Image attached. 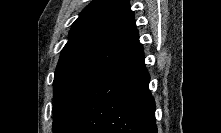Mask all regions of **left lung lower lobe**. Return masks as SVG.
<instances>
[{"instance_id":"obj_1","label":"left lung lower lobe","mask_w":221,"mask_h":133,"mask_svg":"<svg viewBox=\"0 0 221 133\" xmlns=\"http://www.w3.org/2000/svg\"><path fill=\"white\" fill-rule=\"evenodd\" d=\"M149 80L138 44L85 88L55 133H157Z\"/></svg>"}]
</instances>
